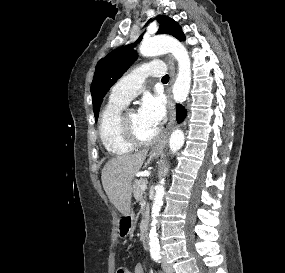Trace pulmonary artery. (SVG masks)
<instances>
[{"instance_id": "obj_1", "label": "pulmonary artery", "mask_w": 285, "mask_h": 273, "mask_svg": "<svg viewBox=\"0 0 285 273\" xmlns=\"http://www.w3.org/2000/svg\"><path fill=\"white\" fill-rule=\"evenodd\" d=\"M165 73L166 66L163 62L150 61L142 64L116 83L111 91L110 101L127 104L139 93L147 77H161Z\"/></svg>"}]
</instances>
